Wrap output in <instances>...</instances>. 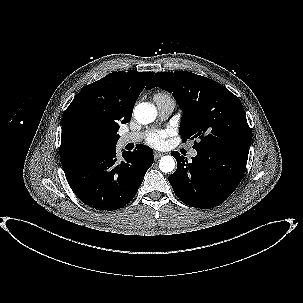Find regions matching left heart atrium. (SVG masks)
<instances>
[{
	"label": "left heart atrium",
	"mask_w": 303,
	"mask_h": 303,
	"mask_svg": "<svg viewBox=\"0 0 303 303\" xmlns=\"http://www.w3.org/2000/svg\"><path fill=\"white\" fill-rule=\"evenodd\" d=\"M171 134L170 130H152L148 133L146 137V142L148 145L160 148L164 146L165 139Z\"/></svg>",
	"instance_id": "obj_1"
}]
</instances>
